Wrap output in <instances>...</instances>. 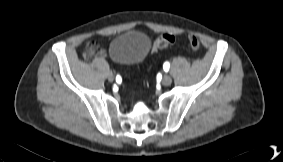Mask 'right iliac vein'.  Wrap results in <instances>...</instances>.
I'll use <instances>...</instances> for the list:
<instances>
[{"instance_id":"obj_1","label":"right iliac vein","mask_w":283,"mask_h":162,"mask_svg":"<svg viewBox=\"0 0 283 162\" xmlns=\"http://www.w3.org/2000/svg\"><path fill=\"white\" fill-rule=\"evenodd\" d=\"M107 79L108 81L112 82L114 80V75L112 72H108L107 73Z\"/></svg>"}]
</instances>
